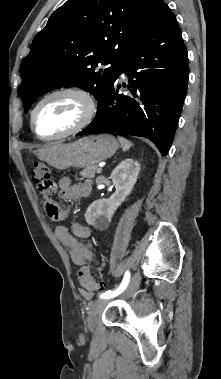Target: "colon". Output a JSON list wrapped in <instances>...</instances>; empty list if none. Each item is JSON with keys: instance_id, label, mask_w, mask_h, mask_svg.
I'll list each match as a JSON object with an SVG mask.
<instances>
[{"instance_id": "1", "label": "colon", "mask_w": 221, "mask_h": 379, "mask_svg": "<svg viewBox=\"0 0 221 379\" xmlns=\"http://www.w3.org/2000/svg\"><path fill=\"white\" fill-rule=\"evenodd\" d=\"M32 181L38 186V189L42 195L47 194L52 188L51 172L49 167L42 163L36 162L32 167L31 174ZM92 249V246L89 245ZM92 251L88 254V259L92 260ZM78 277L81 286L87 291H97L102 288L101 283L97 282L91 275L89 266L82 267L78 272Z\"/></svg>"}]
</instances>
